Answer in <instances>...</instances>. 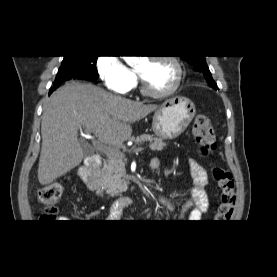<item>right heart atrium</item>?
Masks as SVG:
<instances>
[{"label": "right heart atrium", "instance_id": "d8ad5b80", "mask_svg": "<svg viewBox=\"0 0 277 277\" xmlns=\"http://www.w3.org/2000/svg\"><path fill=\"white\" fill-rule=\"evenodd\" d=\"M96 67L99 77L110 90L125 93L136 84L135 73L115 53L98 57Z\"/></svg>", "mask_w": 277, "mask_h": 277}]
</instances>
